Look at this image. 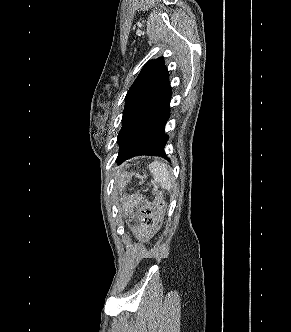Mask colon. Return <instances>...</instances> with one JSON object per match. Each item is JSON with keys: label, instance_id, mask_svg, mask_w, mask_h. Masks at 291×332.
<instances>
[{"label": "colon", "instance_id": "5ec220e1", "mask_svg": "<svg viewBox=\"0 0 291 332\" xmlns=\"http://www.w3.org/2000/svg\"><path fill=\"white\" fill-rule=\"evenodd\" d=\"M164 200L161 194H158L154 203H147L140 210V220L142 226L146 229L151 228L157 219H161L164 214Z\"/></svg>", "mask_w": 291, "mask_h": 332}]
</instances>
